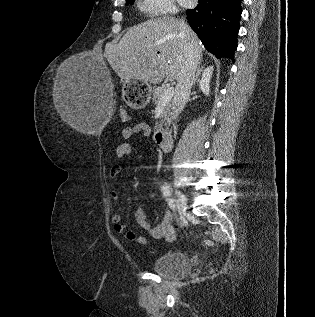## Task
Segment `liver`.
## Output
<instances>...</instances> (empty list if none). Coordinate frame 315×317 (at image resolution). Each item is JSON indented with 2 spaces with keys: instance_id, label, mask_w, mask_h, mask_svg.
Wrapping results in <instances>:
<instances>
[{
  "instance_id": "obj_1",
  "label": "liver",
  "mask_w": 315,
  "mask_h": 317,
  "mask_svg": "<svg viewBox=\"0 0 315 317\" xmlns=\"http://www.w3.org/2000/svg\"><path fill=\"white\" fill-rule=\"evenodd\" d=\"M187 43L201 55L202 44L184 20L156 18L129 29L118 44L107 45L105 57L121 79L157 84L178 79ZM71 126L79 129L77 123Z\"/></svg>"
}]
</instances>
